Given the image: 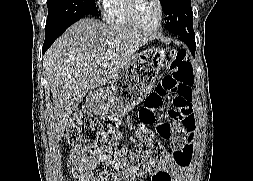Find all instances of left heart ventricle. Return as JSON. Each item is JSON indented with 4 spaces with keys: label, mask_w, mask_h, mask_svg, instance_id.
<instances>
[{
    "label": "left heart ventricle",
    "mask_w": 253,
    "mask_h": 181,
    "mask_svg": "<svg viewBox=\"0 0 253 181\" xmlns=\"http://www.w3.org/2000/svg\"><path fill=\"white\" fill-rule=\"evenodd\" d=\"M136 15L145 26H155L159 20V7L156 0H136Z\"/></svg>",
    "instance_id": "left-heart-ventricle-1"
}]
</instances>
